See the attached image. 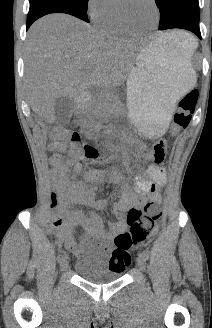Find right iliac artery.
<instances>
[{
	"instance_id": "1",
	"label": "right iliac artery",
	"mask_w": 212,
	"mask_h": 328,
	"mask_svg": "<svg viewBox=\"0 0 212 328\" xmlns=\"http://www.w3.org/2000/svg\"><path fill=\"white\" fill-rule=\"evenodd\" d=\"M63 258H64V256H63L62 252L60 251V252L58 253V256H57V261H58V262H61V261L63 260Z\"/></svg>"
}]
</instances>
